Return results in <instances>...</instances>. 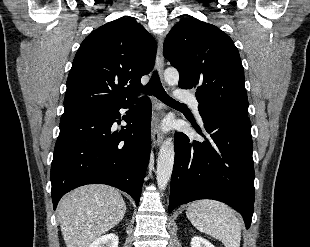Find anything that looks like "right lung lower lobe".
<instances>
[{
  "mask_svg": "<svg viewBox=\"0 0 310 247\" xmlns=\"http://www.w3.org/2000/svg\"><path fill=\"white\" fill-rule=\"evenodd\" d=\"M121 108L131 109L127 126L113 133ZM151 111L150 99L141 98L63 113L51 165L54 210L65 193L86 184L114 186L138 206L150 156Z\"/></svg>",
  "mask_w": 310,
  "mask_h": 247,
  "instance_id": "obj_1",
  "label": "right lung lower lobe"
}]
</instances>
